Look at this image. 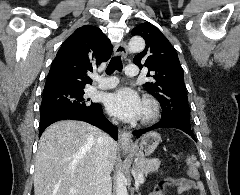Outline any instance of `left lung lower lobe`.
Listing matches in <instances>:
<instances>
[{
  "mask_svg": "<svg viewBox=\"0 0 240 195\" xmlns=\"http://www.w3.org/2000/svg\"><path fill=\"white\" fill-rule=\"evenodd\" d=\"M158 128H177L189 134L195 140L190 123L175 119H161L158 123L154 124L151 127L133 131V135L139 138L142 134Z\"/></svg>",
  "mask_w": 240,
  "mask_h": 195,
  "instance_id": "0a47b994",
  "label": "left lung lower lobe"
}]
</instances>
